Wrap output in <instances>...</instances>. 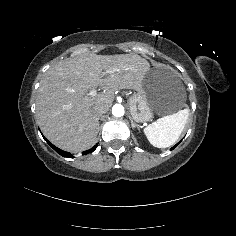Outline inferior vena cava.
Instances as JSON below:
<instances>
[{
  "instance_id": "1",
  "label": "inferior vena cava",
  "mask_w": 236,
  "mask_h": 236,
  "mask_svg": "<svg viewBox=\"0 0 236 236\" xmlns=\"http://www.w3.org/2000/svg\"><path fill=\"white\" fill-rule=\"evenodd\" d=\"M94 110H95V114H96V116H97L98 119L100 118V116H101L102 114L105 113L104 109H102L101 107H97V108H95Z\"/></svg>"
}]
</instances>
